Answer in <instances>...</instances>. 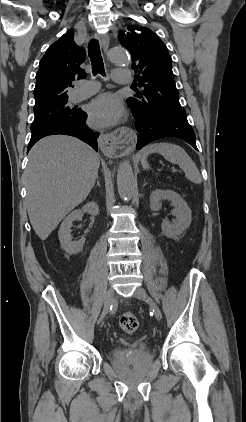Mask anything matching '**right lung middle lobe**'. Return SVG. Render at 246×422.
I'll list each match as a JSON object with an SVG mask.
<instances>
[{"label": "right lung middle lobe", "instance_id": "1", "mask_svg": "<svg viewBox=\"0 0 246 422\" xmlns=\"http://www.w3.org/2000/svg\"><path fill=\"white\" fill-rule=\"evenodd\" d=\"M67 101L68 99H65L34 109L35 118L31 125V130L51 122L75 119L80 114V110L68 107Z\"/></svg>", "mask_w": 246, "mask_h": 422}]
</instances>
